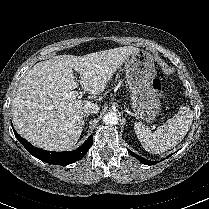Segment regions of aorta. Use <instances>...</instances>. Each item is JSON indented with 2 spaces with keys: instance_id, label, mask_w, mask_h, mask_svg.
<instances>
[{
  "instance_id": "762f6f07",
  "label": "aorta",
  "mask_w": 209,
  "mask_h": 209,
  "mask_svg": "<svg viewBox=\"0 0 209 209\" xmlns=\"http://www.w3.org/2000/svg\"><path fill=\"white\" fill-rule=\"evenodd\" d=\"M103 122L106 125H116L118 123V116L114 112H109L104 115Z\"/></svg>"
}]
</instances>
